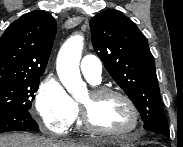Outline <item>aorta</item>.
Here are the masks:
<instances>
[{
  "label": "aorta",
  "mask_w": 183,
  "mask_h": 147,
  "mask_svg": "<svg viewBox=\"0 0 183 147\" xmlns=\"http://www.w3.org/2000/svg\"><path fill=\"white\" fill-rule=\"evenodd\" d=\"M83 40V36L79 34L71 36L61 47L57 57L58 77L74 98H78L86 90L79 70Z\"/></svg>",
  "instance_id": "obj_1"
}]
</instances>
